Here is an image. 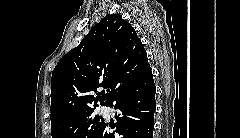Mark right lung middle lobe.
<instances>
[{
	"label": "right lung middle lobe",
	"instance_id": "1",
	"mask_svg": "<svg viewBox=\"0 0 240 138\" xmlns=\"http://www.w3.org/2000/svg\"><path fill=\"white\" fill-rule=\"evenodd\" d=\"M94 109L88 108L51 124L52 138H94L105 123L102 117L95 115Z\"/></svg>",
	"mask_w": 240,
	"mask_h": 138
}]
</instances>
